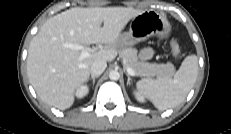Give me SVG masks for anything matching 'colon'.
I'll use <instances>...</instances> for the list:
<instances>
[{"mask_svg":"<svg viewBox=\"0 0 231 134\" xmlns=\"http://www.w3.org/2000/svg\"><path fill=\"white\" fill-rule=\"evenodd\" d=\"M170 45H171V49H172V54H173V56L174 57H177L178 55H179V46H178V44L176 43V42H174V41H172L171 43H170Z\"/></svg>","mask_w":231,"mask_h":134,"instance_id":"1","label":"colon"}]
</instances>
